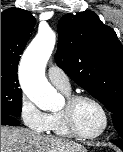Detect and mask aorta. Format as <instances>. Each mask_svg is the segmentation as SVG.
Returning a JSON list of instances; mask_svg holds the SVG:
<instances>
[{"instance_id":"aorta-1","label":"aorta","mask_w":123,"mask_h":152,"mask_svg":"<svg viewBox=\"0 0 123 152\" xmlns=\"http://www.w3.org/2000/svg\"><path fill=\"white\" fill-rule=\"evenodd\" d=\"M56 35L41 29L25 50L20 63V83L25 95L41 110L59 106V95L45 77V66L53 52Z\"/></svg>"}]
</instances>
